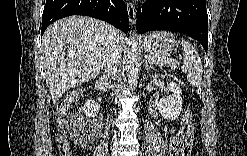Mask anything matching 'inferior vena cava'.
<instances>
[{
    "label": "inferior vena cava",
    "mask_w": 247,
    "mask_h": 156,
    "mask_svg": "<svg viewBox=\"0 0 247 156\" xmlns=\"http://www.w3.org/2000/svg\"><path fill=\"white\" fill-rule=\"evenodd\" d=\"M108 41L106 44V52L104 55V72L108 76H115L120 59L122 49L119 45L118 30L110 25H107Z\"/></svg>",
    "instance_id": "1"
}]
</instances>
